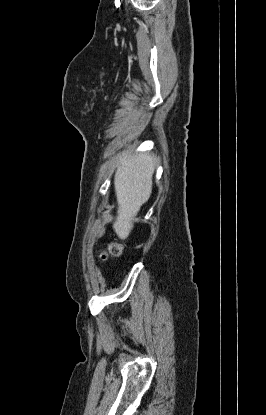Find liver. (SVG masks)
Returning a JSON list of instances; mask_svg holds the SVG:
<instances>
[{
  "mask_svg": "<svg viewBox=\"0 0 266 415\" xmlns=\"http://www.w3.org/2000/svg\"><path fill=\"white\" fill-rule=\"evenodd\" d=\"M156 165V157L149 153H129L119 160L114 177L118 211L113 229L122 240L129 236L136 215L150 198Z\"/></svg>",
  "mask_w": 266,
  "mask_h": 415,
  "instance_id": "1",
  "label": "liver"
}]
</instances>
